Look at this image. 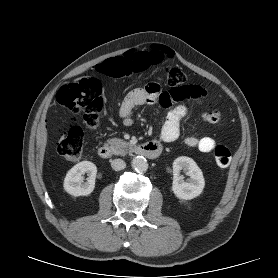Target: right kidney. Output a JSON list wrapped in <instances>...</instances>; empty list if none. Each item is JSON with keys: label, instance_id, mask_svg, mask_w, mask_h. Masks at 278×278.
<instances>
[{"label": "right kidney", "instance_id": "ca27d5eb", "mask_svg": "<svg viewBox=\"0 0 278 278\" xmlns=\"http://www.w3.org/2000/svg\"><path fill=\"white\" fill-rule=\"evenodd\" d=\"M87 173L88 178L83 182V175ZM97 167L90 161H82L73 166L64 179V189L73 196H87L95 188Z\"/></svg>", "mask_w": 278, "mask_h": 278}]
</instances>
